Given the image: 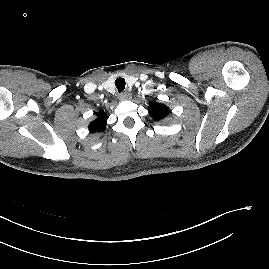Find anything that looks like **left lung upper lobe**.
<instances>
[{"label":"left lung upper lobe","instance_id":"obj_1","mask_svg":"<svg viewBox=\"0 0 269 269\" xmlns=\"http://www.w3.org/2000/svg\"><path fill=\"white\" fill-rule=\"evenodd\" d=\"M148 111L155 121H160L169 114V108L166 105L153 101L150 103Z\"/></svg>","mask_w":269,"mask_h":269}]
</instances>
